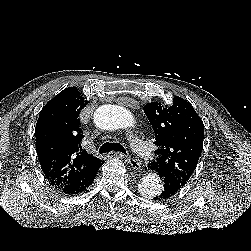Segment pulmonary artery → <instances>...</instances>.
Returning a JSON list of instances; mask_svg holds the SVG:
<instances>
[{"instance_id":"pulmonary-artery-1","label":"pulmonary artery","mask_w":251,"mask_h":251,"mask_svg":"<svg viewBox=\"0 0 251 251\" xmlns=\"http://www.w3.org/2000/svg\"><path fill=\"white\" fill-rule=\"evenodd\" d=\"M131 148L134 153H136L138 156L143 157L147 154V147L146 145L139 141V140H132L131 142Z\"/></svg>"}]
</instances>
